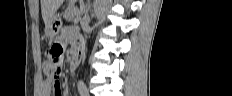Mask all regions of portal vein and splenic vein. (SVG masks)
Instances as JSON below:
<instances>
[{
    "mask_svg": "<svg viewBox=\"0 0 232 96\" xmlns=\"http://www.w3.org/2000/svg\"><path fill=\"white\" fill-rule=\"evenodd\" d=\"M79 20H80V16H77V17L74 19V23H77Z\"/></svg>",
    "mask_w": 232,
    "mask_h": 96,
    "instance_id": "portal-vein-and-splenic-vein-1",
    "label": "portal vein and splenic vein"
}]
</instances>
